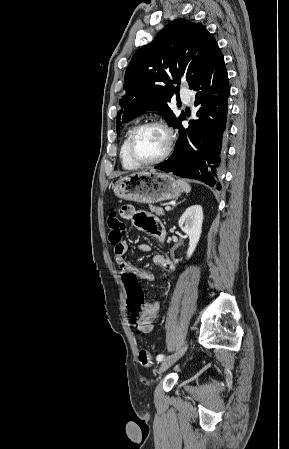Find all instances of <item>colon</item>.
<instances>
[{"label": "colon", "mask_w": 289, "mask_h": 449, "mask_svg": "<svg viewBox=\"0 0 289 449\" xmlns=\"http://www.w3.org/2000/svg\"><path fill=\"white\" fill-rule=\"evenodd\" d=\"M109 229V241L112 245L117 246L122 243L123 237L126 233V225L119 218L117 212L112 211L109 214L108 220ZM121 278L124 281L127 293H128V309L131 312L132 320L135 325L140 321L141 308L143 303L142 288L130 271H123ZM139 361L144 366L152 365V357L149 351L145 348H141L138 353Z\"/></svg>", "instance_id": "obj_1"}]
</instances>
